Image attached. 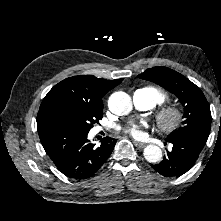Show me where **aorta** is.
I'll return each mask as SVG.
<instances>
[{
    "mask_svg": "<svg viewBox=\"0 0 221 221\" xmlns=\"http://www.w3.org/2000/svg\"><path fill=\"white\" fill-rule=\"evenodd\" d=\"M108 106L111 112L116 115H127L132 110V101L130 96L125 92L113 93L109 100ZM144 158L150 163H158L162 159V150L156 145H148L143 152Z\"/></svg>",
    "mask_w": 221,
    "mask_h": 221,
    "instance_id": "1",
    "label": "aorta"
}]
</instances>
